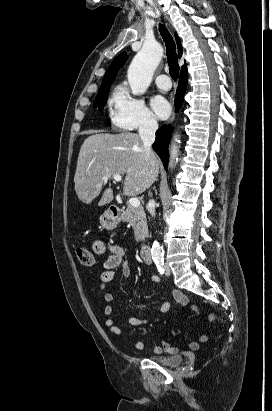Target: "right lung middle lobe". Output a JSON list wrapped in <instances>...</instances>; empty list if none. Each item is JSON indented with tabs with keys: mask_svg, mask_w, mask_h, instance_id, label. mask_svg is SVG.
Wrapping results in <instances>:
<instances>
[{
	"mask_svg": "<svg viewBox=\"0 0 272 411\" xmlns=\"http://www.w3.org/2000/svg\"><path fill=\"white\" fill-rule=\"evenodd\" d=\"M110 86L111 85H108L105 88L99 90L97 97L94 101V107H98L99 110H102L104 108Z\"/></svg>",
	"mask_w": 272,
	"mask_h": 411,
	"instance_id": "right-lung-middle-lobe-1",
	"label": "right lung middle lobe"
}]
</instances>
